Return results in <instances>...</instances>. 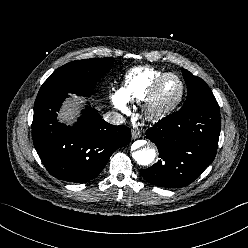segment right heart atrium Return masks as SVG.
Here are the masks:
<instances>
[{
    "label": "right heart atrium",
    "mask_w": 248,
    "mask_h": 248,
    "mask_svg": "<svg viewBox=\"0 0 248 248\" xmlns=\"http://www.w3.org/2000/svg\"><path fill=\"white\" fill-rule=\"evenodd\" d=\"M111 100L113 105L120 111L122 112H127L128 107H127V100L123 96L121 90L115 91L112 96Z\"/></svg>",
    "instance_id": "obj_1"
}]
</instances>
